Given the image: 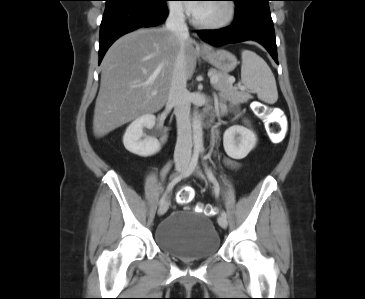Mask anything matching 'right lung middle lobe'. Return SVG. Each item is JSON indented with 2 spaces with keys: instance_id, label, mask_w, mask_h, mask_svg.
<instances>
[{
  "instance_id": "obj_1",
  "label": "right lung middle lobe",
  "mask_w": 365,
  "mask_h": 299,
  "mask_svg": "<svg viewBox=\"0 0 365 299\" xmlns=\"http://www.w3.org/2000/svg\"><path fill=\"white\" fill-rule=\"evenodd\" d=\"M125 1H136V0H106V5L114 4L117 2H125ZM144 1L158 2V1H162V0H144Z\"/></svg>"
}]
</instances>
